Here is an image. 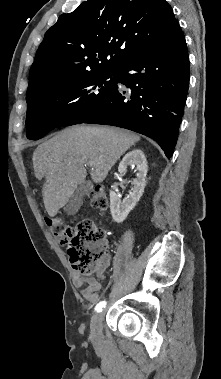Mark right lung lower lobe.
<instances>
[{"label":"right lung lower lobe","instance_id":"obj_1","mask_svg":"<svg viewBox=\"0 0 221 379\" xmlns=\"http://www.w3.org/2000/svg\"><path fill=\"white\" fill-rule=\"evenodd\" d=\"M189 72L188 50L179 27L124 61L117 68L108 99L87 117L79 116L70 125L106 124L133 130L154 139L169 159L184 114Z\"/></svg>","mask_w":221,"mask_h":379}]
</instances>
